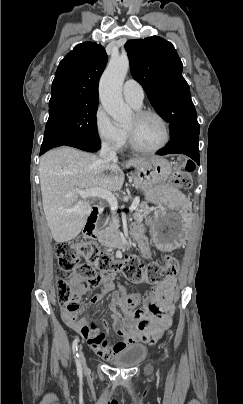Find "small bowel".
Here are the masks:
<instances>
[{
	"label": "small bowel",
	"instance_id": "small-bowel-1",
	"mask_svg": "<svg viewBox=\"0 0 243 404\" xmlns=\"http://www.w3.org/2000/svg\"><path fill=\"white\" fill-rule=\"evenodd\" d=\"M139 247L145 258H150L152 249L148 239L142 235L141 227L135 226ZM116 273L100 274L96 284L101 286L104 292L113 288V279ZM174 285L175 280L168 278L158 286L154 287L150 296L145 300L143 309L130 312L125 320L121 319L115 306L120 304V298L115 295L113 299L112 312L114 328L121 340L111 345L107 334L100 333L94 325H89L84 318L77 319L66 310H62L61 315L65 323L79 332L87 341L90 348L99 357L111 359L113 355L127 345L144 342L155 343L163 332L170 327L171 317L174 312ZM99 295L92 297L91 302L97 303ZM107 327V323H105Z\"/></svg>",
	"mask_w": 243,
	"mask_h": 404
}]
</instances>
